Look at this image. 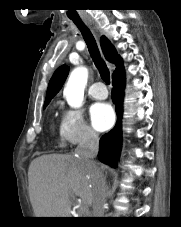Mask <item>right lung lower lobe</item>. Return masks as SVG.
<instances>
[{
    "label": "right lung lower lobe",
    "instance_id": "98d812e1",
    "mask_svg": "<svg viewBox=\"0 0 181 227\" xmlns=\"http://www.w3.org/2000/svg\"><path fill=\"white\" fill-rule=\"evenodd\" d=\"M112 84V99L115 103L117 122L114 128L100 139L98 158L100 161L110 165L111 167H116L117 156L119 155L122 143L121 119L123 90L125 85L122 65L113 73Z\"/></svg>",
    "mask_w": 181,
    "mask_h": 227
}]
</instances>
